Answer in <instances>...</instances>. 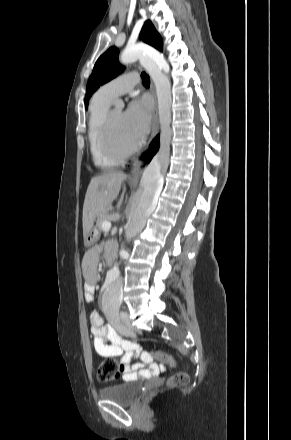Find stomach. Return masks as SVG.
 <instances>
[{
    "label": "stomach",
    "instance_id": "0dacf381",
    "mask_svg": "<svg viewBox=\"0 0 291 440\" xmlns=\"http://www.w3.org/2000/svg\"><path fill=\"white\" fill-rule=\"evenodd\" d=\"M97 239H98V231L95 228H92L84 239L85 245L91 246L95 243Z\"/></svg>",
    "mask_w": 291,
    "mask_h": 440
}]
</instances>
